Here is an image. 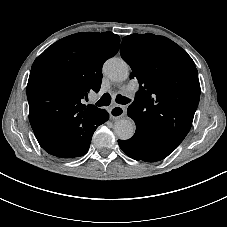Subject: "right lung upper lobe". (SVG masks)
Here are the masks:
<instances>
[{"label": "right lung upper lobe", "instance_id": "right-lung-upper-lobe-1", "mask_svg": "<svg viewBox=\"0 0 227 227\" xmlns=\"http://www.w3.org/2000/svg\"><path fill=\"white\" fill-rule=\"evenodd\" d=\"M119 44L112 32L76 33L36 58L27 85L29 120L44 144L67 148V137L77 126L108 120L106 110L83 103L90 90L99 91L103 63L118 52Z\"/></svg>", "mask_w": 227, "mask_h": 227}]
</instances>
